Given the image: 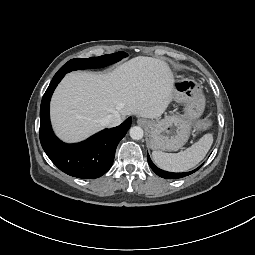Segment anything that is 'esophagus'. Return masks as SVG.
Instances as JSON below:
<instances>
[{"instance_id": "34e87169", "label": "esophagus", "mask_w": 255, "mask_h": 255, "mask_svg": "<svg viewBox=\"0 0 255 255\" xmlns=\"http://www.w3.org/2000/svg\"><path fill=\"white\" fill-rule=\"evenodd\" d=\"M143 122H144V121L141 120V119L138 120V123H139V124H142Z\"/></svg>"}]
</instances>
